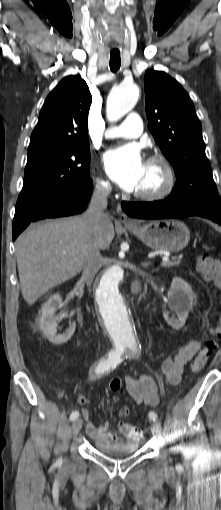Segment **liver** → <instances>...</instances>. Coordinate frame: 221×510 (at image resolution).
<instances>
[{
	"label": "liver",
	"instance_id": "1",
	"mask_svg": "<svg viewBox=\"0 0 221 510\" xmlns=\"http://www.w3.org/2000/svg\"><path fill=\"white\" fill-rule=\"evenodd\" d=\"M114 236V226L109 221L98 237L99 249H107ZM87 237L82 215L33 224L17 238L21 292L29 305L81 272Z\"/></svg>",
	"mask_w": 221,
	"mask_h": 510
}]
</instances>
